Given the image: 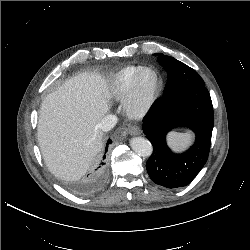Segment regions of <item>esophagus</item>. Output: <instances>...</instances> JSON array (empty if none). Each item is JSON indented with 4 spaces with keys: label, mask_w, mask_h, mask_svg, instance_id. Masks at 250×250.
Returning <instances> with one entry per match:
<instances>
[{
    "label": "esophagus",
    "mask_w": 250,
    "mask_h": 250,
    "mask_svg": "<svg viewBox=\"0 0 250 250\" xmlns=\"http://www.w3.org/2000/svg\"><path fill=\"white\" fill-rule=\"evenodd\" d=\"M141 129L139 126H131L129 129H128V133L130 135H140L141 134Z\"/></svg>",
    "instance_id": "34e87169"
}]
</instances>
